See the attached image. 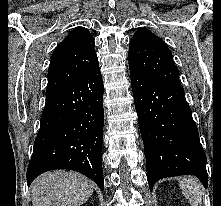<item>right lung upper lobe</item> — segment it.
Segmentation results:
<instances>
[{"label":"right lung upper lobe","mask_w":221,"mask_h":206,"mask_svg":"<svg viewBox=\"0 0 221 206\" xmlns=\"http://www.w3.org/2000/svg\"><path fill=\"white\" fill-rule=\"evenodd\" d=\"M94 45V38L86 28L73 29L52 54L46 93L99 67Z\"/></svg>","instance_id":"1"}]
</instances>
